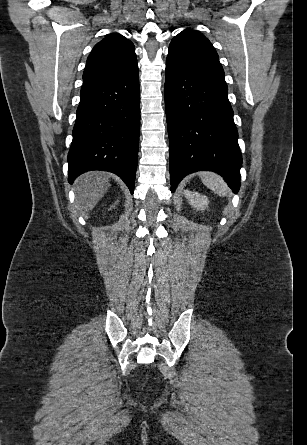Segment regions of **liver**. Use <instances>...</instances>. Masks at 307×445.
I'll return each instance as SVG.
<instances>
[{
  "mask_svg": "<svg viewBox=\"0 0 307 445\" xmlns=\"http://www.w3.org/2000/svg\"><path fill=\"white\" fill-rule=\"evenodd\" d=\"M108 186H110V182H108L106 172H100V170L85 172L76 178L77 196L75 200L84 210H92L107 192Z\"/></svg>",
  "mask_w": 307,
  "mask_h": 445,
  "instance_id": "6515ba94",
  "label": "liver"
}]
</instances>
